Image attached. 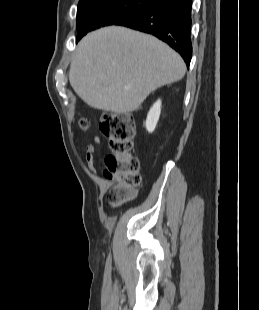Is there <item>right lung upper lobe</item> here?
I'll return each mask as SVG.
<instances>
[{"label":"right lung upper lobe","instance_id":"cb5924a9","mask_svg":"<svg viewBox=\"0 0 259 310\" xmlns=\"http://www.w3.org/2000/svg\"><path fill=\"white\" fill-rule=\"evenodd\" d=\"M104 0H80L79 4H78V8H85V7H89L92 5H95L99 2H102Z\"/></svg>","mask_w":259,"mask_h":310}]
</instances>
